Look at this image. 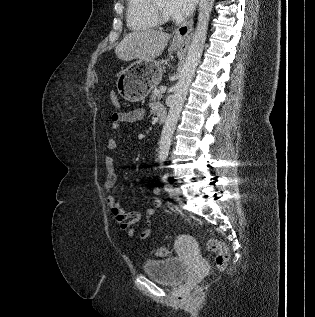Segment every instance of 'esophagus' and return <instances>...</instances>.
<instances>
[{"label":"esophagus","mask_w":315,"mask_h":317,"mask_svg":"<svg viewBox=\"0 0 315 317\" xmlns=\"http://www.w3.org/2000/svg\"><path fill=\"white\" fill-rule=\"evenodd\" d=\"M193 31V20L181 25L173 32V39L180 44L183 49H187L190 44Z\"/></svg>","instance_id":"34e87169"}]
</instances>
